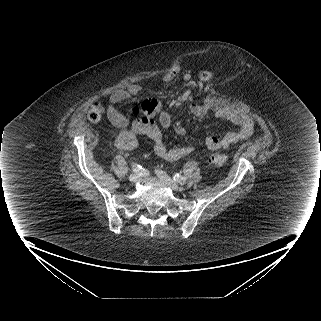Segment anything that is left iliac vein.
<instances>
[{
	"label": "left iliac vein",
	"mask_w": 321,
	"mask_h": 321,
	"mask_svg": "<svg viewBox=\"0 0 321 321\" xmlns=\"http://www.w3.org/2000/svg\"><path fill=\"white\" fill-rule=\"evenodd\" d=\"M157 176L160 178V180L165 183L169 188H171L174 191H177L179 189V185L170 178L164 171L156 170L155 171Z\"/></svg>",
	"instance_id": "left-iliac-vein-1"
}]
</instances>
